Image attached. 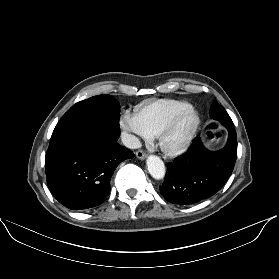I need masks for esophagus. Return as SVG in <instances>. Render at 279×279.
<instances>
[{
  "instance_id": "1",
  "label": "esophagus",
  "mask_w": 279,
  "mask_h": 279,
  "mask_svg": "<svg viewBox=\"0 0 279 279\" xmlns=\"http://www.w3.org/2000/svg\"><path fill=\"white\" fill-rule=\"evenodd\" d=\"M136 157L140 160H143L147 157V154H146V152L139 150L136 152Z\"/></svg>"
}]
</instances>
